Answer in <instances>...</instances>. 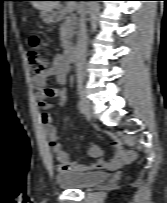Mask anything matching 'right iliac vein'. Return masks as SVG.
<instances>
[{
  "mask_svg": "<svg viewBox=\"0 0 167 203\" xmlns=\"http://www.w3.org/2000/svg\"><path fill=\"white\" fill-rule=\"evenodd\" d=\"M78 94H79V97L86 109V112L92 116V105H91V102L90 100L87 98V95H86V91L83 87H79L78 88Z\"/></svg>",
  "mask_w": 167,
  "mask_h": 203,
  "instance_id": "obj_1",
  "label": "right iliac vein"
}]
</instances>
